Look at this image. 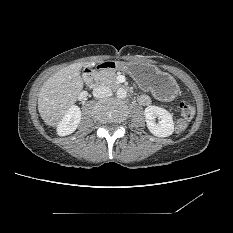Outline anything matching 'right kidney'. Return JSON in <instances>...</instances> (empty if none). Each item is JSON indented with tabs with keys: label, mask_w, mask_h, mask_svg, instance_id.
<instances>
[{
	"label": "right kidney",
	"mask_w": 233,
	"mask_h": 233,
	"mask_svg": "<svg viewBox=\"0 0 233 233\" xmlns=\"http://www.w3.org/2000/svg\"><path fill=\"white\" fill-rule=\"evenodd\" d=\"M81 120V110L78 106H72L63 116L57 127L59 136L72 134L78 127Z\"/></svg>",
	"instance_id": "ca27d5eb"
}]
</instances>
